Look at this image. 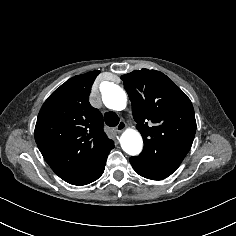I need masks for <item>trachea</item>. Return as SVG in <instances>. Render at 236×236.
Instances as JSON below:
<instances>
[{"instance_id": "obj_1", "label": "trachea", "mask_w": 236, "mask_h": 236, "mask_svg": "<svg viewBox=\"0 0 236 236\" xmlns=\"http://www.w3.org/2000/svg\"><path fill=\"white\" fill-rule=\"evenodd\" d=\"M104 120L108 126L115 127L116 125H118L120 119L116 113L109 111L105 113Z\"/></svg>"}]
</instances>
